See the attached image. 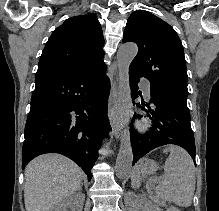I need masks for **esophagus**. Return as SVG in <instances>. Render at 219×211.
I'll return each instance as SVG.
<instances>
[{"label":"esophagus","instance_id":"esophagus-1","mask_svg":"<svg viewBox=\"0 0 219 211\" xmlns=\"http://www.w3.org/2000/svg\"><path fill=\"white\" fill-rule=\"evenodd\" d=\"M109 120L114 132V135L117 140H119L122 131V125L120 124V117H119V97H118V82L114 81L111 100L109 103V110H108Z\"/></svg>","mask_w":219,"mask_h":211}]
</instances>
